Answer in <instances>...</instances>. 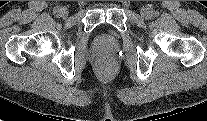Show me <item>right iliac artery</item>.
<instances>
[{
    "mask_svg": "<svg viewBox=\"0 0 207 121\" xmlns=\"http://www.w3.org/2000/svg\"><path fill=\"white\" fill-rule=\"evenodd\" d=\"M54 14H55L56 16H59V14H60V8H59V7H56V8L54 9Z\"/></svg>",
    "mask_w": 207,
    "mask_h": 121,
    "instance_id": "obj_1",
    "label": "right iliac artery"
}]
</instances>
